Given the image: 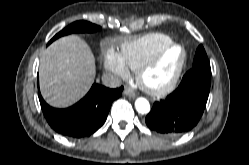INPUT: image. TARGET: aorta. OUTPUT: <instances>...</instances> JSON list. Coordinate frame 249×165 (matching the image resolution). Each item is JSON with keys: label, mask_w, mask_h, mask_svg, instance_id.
<instances>
[{"label": "aorta", "mask_w": 249, "mask_h": 165, "mask_svg": "<svg viewBox=\"0 0 249 165\" xmlns=\"http://www.w3.org/2000/svg\"><path fill=\"white\" fill-rule=\"evenodd\" d=\"M135 108L139 113L146 114L150 111V104L147 99L140 97L135 101Z\"/></svg>", "instance_id": "aorta-1"}]
</instances>
